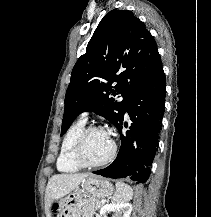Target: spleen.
I'll return each instance as SVG.
<instances>
[{"label":"spleen","mask_w":211,"mask_h":217,"mask_svg":"<svg viewBox=\"0 0 211 217\" xmlns=\"http://www.w3.org/2000/svg\"><path fill=\"white\" fill-rule=\"evenodd\" d=\"M133 190L124 182H116V192L113 196V201L117 203L127 202L132 199Z\"/></svg>","instance_id":"spleen-1"}]
</instances>
